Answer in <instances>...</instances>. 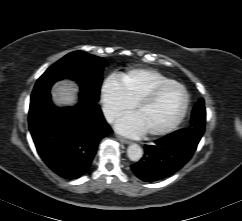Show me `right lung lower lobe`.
Segmentation results:
<instances>
[{"label":"right lung lower lobe","mask_w":242,"mask_h":221,"mask_svg":"<svg viewBox=\"0 0 242 221\" xmlns=\"http://www.w3.org/2000/svg\"><path fill=\"white\" fill-rule=\"evenodd\" d=\"M74 108H56L50 93L31 98L28 121L36 149L56 174L75 179L88 171L99 141L112 130L95 103L79 95Z\"/></svg>","instance_id":"98d812e1"}]
</instances>
